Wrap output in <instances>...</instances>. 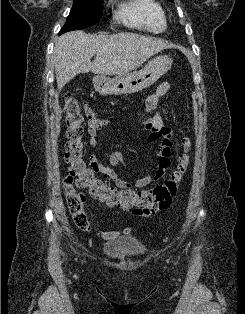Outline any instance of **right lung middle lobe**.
<instances>
[{
  "label": "right lung middle lobe",
  "instance_id": "right-lung-middle-lobe-1",
  "mask_svg": "<svg viewBox=\"0 0 245 314\" xmlns=\"http://www.w3.org/2000/svg\"><path fill=\"white\" fill-rule=\"evenodd\" d=\"M103 0H74L60 34L89 27L102 17Z\"/></svg>",
  "mask_w": 245,
  "mask_h": 314
}]
</instances>
